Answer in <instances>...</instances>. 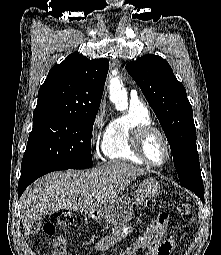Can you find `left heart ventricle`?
Here are the masks:
<instances>
[{
    "instance_id": "1",
    "label": "left heart ventricle",
    "mask_w": 221,
    "mask_h": 255,
    "mask_svg": "<svg viewBox=\"0 0 221 255\" xmlns=\"http://www.w3.org/2000/svg\"><path fill=\"white\" fill-rule=\"evenodd\" d=\"M145 152L148 158L155 162L161 163L166 158V149L160 139L156 134H151L145 142Z\"/></svg>"
}]
</instances>
